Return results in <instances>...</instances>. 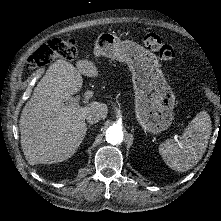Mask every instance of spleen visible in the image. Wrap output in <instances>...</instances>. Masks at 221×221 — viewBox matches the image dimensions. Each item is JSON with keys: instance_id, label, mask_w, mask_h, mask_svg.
Instances as JSON below:
<instances>
[{"instance_id": "1", "label": "spleen", "mask_w": 221, "mask_h": 221, "mask_svg": "<svg viewBox=\"0 0 221 221\" xmlns=\"http://www.w3.org/2000/svg\"><path fill=\"white\" fill-rule=\"evenodd\" d=\"M211 131V117L203 107L186 126L181 137L167 139L161 144L160 153L167 165L177 172L194 167L206 151Z\"/></svg>"}]
</instances>
